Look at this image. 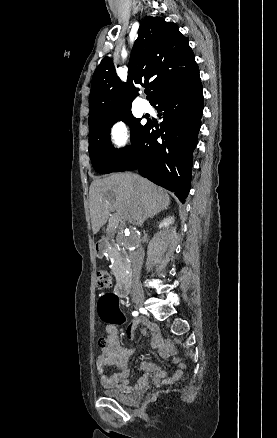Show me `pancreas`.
<instances>
[{"mask_svg":"<svg viewBox=\"0 0 277 438\" xmlns=\"http://www.w3.org/2000/svg\"><path fill=\"white\" fill-rule=\"evenodd\" d=\"M115 239V231H106L105 235H101L100 239H97L96 244H101V253H110L107 259L109 270H122L126 262L123 258V251H117L118 247L115 244Z\"/></svg>","mask_w":277,"mask_h":438,"instance_id":"cf45deb5","label":"pancreas"}]
</instances>
